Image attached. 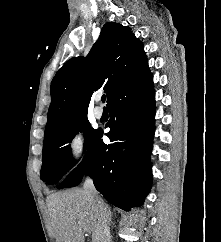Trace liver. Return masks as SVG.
<instances>
[{
	"label": "liver",
	"mask_w": 221,
	"mask_h": 242,
	"mask_svg": "<svg viewBox=\"0 0 221 242\" xmlns=\"http://www.w3.org/2000/svg\"><path fill=\"white\" fill-rule=\"evenodd\" d=\"M47 210L49 234L56 242H84V228L94 240L96 218L84 189L48 196Z\"/></svg>",
	"instance_id": "liver-1"
}]
</instances>
